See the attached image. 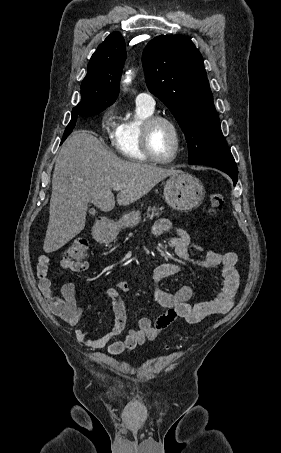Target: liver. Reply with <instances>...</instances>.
<instances>
[{
  "instance_id": "obj_1",
  "label": "liver",
  "mask_w": 281,
  "mask_h": 453,
  "mask_svg": "<svg viewBox=\"0 0 281 453\" xmlns=\"http://www.w3.org/2000/svg\"><path fill=\"white\" fill-rule=\"evenodd\" d=\"M91 130H74L63 142L52 176L49 222L43 249L53 253L83 231L88 202L109 212L115 206L114 184H122L118 204L128 206L167 176L183 170L122 160Z\"/></svg>"
}]
</instances>
